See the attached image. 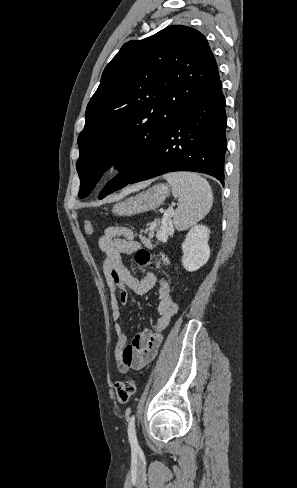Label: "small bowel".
Wrapping results in <instances>:
<instances>
[{
    "label": "small bowel",
    "mask_w": 297,
    "mask_h": 488,
    "mask_svg": "<svg viewBox=\"0 0 297 488\" xmlns=\"http://www.w3.org/2000/svg\"><path fill=\"white\" fill-rule=\"evenodd\" d=\"M98 248L104 255L102 270L109 292L111 318L114 321L116 366L119 372L126 373L142 368L156 356L162 341V331L177 312L178 306L168 277L158 278L155 273L148 272L142 279H137L124 265L123 254L130 255L143 250L141 244L134 240V233L129 227H107L98 239ZM157 283V317L153 320L151 328L137 334L131 344H127L125 329L119 323L122 318L121 308L129 304L130 291L143 295Z\"/></svg>",
    "instance_id": "c3829d8e"
}]
</instances>
